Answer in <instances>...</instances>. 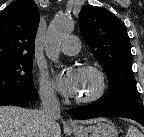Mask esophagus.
Instances as JSON below:
<instances>
[{
	"mask_svg": "<svg viewBox=\"0 0 144 137\" xmlns=\"http://www.w3.org/2000/svg\"><path fill=\"white\" fill-rule=\"evenodd\" d=\"M68 125H69L70 127H74V126H75L74 122H72V121H69Z\"/></svg>",
	"mask_w": 144,
	"mask_h": 137,
	"instance_id": "esophagus-1",
	"label": "esophagus"
}]
</instances>
